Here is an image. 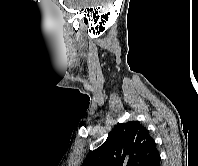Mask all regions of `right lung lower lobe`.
I'll return each instance as SVG.
<instances>
[{"label":"right lung lower lobe","instance_id":"obj_1","mask_svg":"<svg viewBox=\"0 0 198 166\" xmlns=\"http://www.w3.org/2000/svg\"><path fill=\"white\" fill-rule=\"evenodd\" d=\"M148 166H160V155H159V153L150 161Z\"/></svg>","mask_w":198,"mask_h":166}]
</instances>
